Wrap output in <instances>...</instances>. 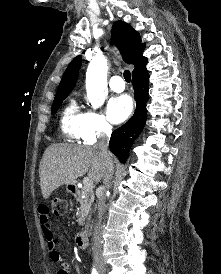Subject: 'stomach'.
<instances>
[{
	"instance_id": "1",
	"label": "stomach",
	"mask_w": 221,
	"mask_h": 274,
	"mask_svg": "<svg viewBox=\"0 0 221 274\" xmlns=\"http://www.w3.org/2000/svg\"><path fill=\"white\" fill-rule=\"evenodd\" d=\"M67 190L70 191V192L73 191L74 190V185L73 184L68 185Z\"/></svg>"
}]
</instances>
